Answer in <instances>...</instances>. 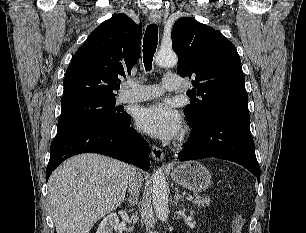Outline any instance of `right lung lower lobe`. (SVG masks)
I'll return each instance as SVG.
<instances>
[{
	"instance_id": "98d812e1",
	"label": "right lung lower lobe",
	"mask_w": 306,
	"mask_h": 233,
	"mask_svg": "<svg viewBox=\"0 0 306 233\" xmlns=\"http://www.w3.org/2000/svg\"><path fill=\"white\" fill-rule=\"evenodd\" d=\"M130 120L127 114L119 122L94 120L57 131L50 147L46 180L65 159L88 152L104 154L147 171L150 148L144 138L130 128Z\"/></svg>"
}]
</instances>
